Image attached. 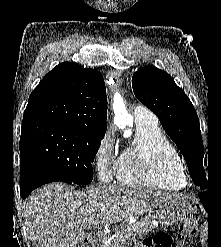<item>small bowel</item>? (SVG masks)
<instances>
[{
  "label": "small bowel",
  "mask_w": 221,
  "mask_h": 247,
  "mask_svg": "<svg viewBox=\"0 0 221 247\" xmlns=\"http://www.w3.org/2000/svg\"><path fill=\"white\" fill-rule=\"evenodd\" d=\"M138 247H148L146 243L144 242L143 244L139 245Z\"/></svg>",
  "instance_id": "1"
}]
</instances>
